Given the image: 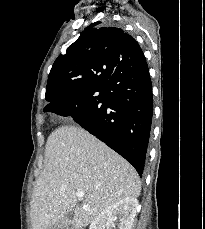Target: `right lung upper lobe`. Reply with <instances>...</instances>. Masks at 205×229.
<instances>
[{
  "instance_id": "cb5924a9",
  "label": "right lung upper lobe",
  "mask_w": 205,
  "mask_h": 229,
  "mask_svg": "<svg viewBox=\"0 0 205 229\" xmlns=\"http://www.w3.org/2000/svg\"><path fill=\"white\" fill-rule=\"evenodd\" d=\"M95 22L58 56L50 71L45 99L52 103L92 86L93 78L113 73L122 60L133 62L142 53L137 41L120 28Z\"/></svg>"
}]
</instances>
